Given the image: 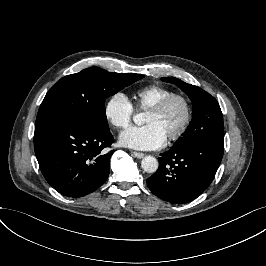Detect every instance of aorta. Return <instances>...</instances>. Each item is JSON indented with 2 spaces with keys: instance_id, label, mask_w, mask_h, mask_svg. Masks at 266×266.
<instances>
[{
  "instance_id": "762f6f07",
  "label": "aorta",
  "mask_w": 266,
  "mask_h": 266,
  "mask_svg": "<svg viewBox=\"0 0 266 266\" xmlns=\"http://www.w3.org/2000/svg\"><path fill=\"white\" fill-rule=\"evenodd\" d=\"M133 121L135 124L138 126H141L145 122V114L144 113H139L133 116ZM158 161L155 157L153 156H145L143 157L141 161V167L142 169L147 172V173H154L158 169Z\"/></svg>"
}]
</instances>
